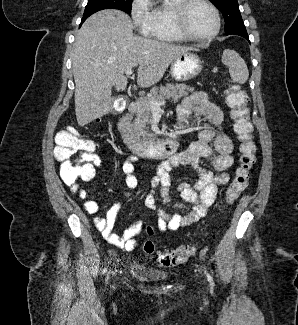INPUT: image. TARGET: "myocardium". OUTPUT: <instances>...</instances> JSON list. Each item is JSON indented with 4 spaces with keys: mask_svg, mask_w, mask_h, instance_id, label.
<instances>
[{
    "mask_svg": "<svg viewBox=\"0 0 298 325\" xmlns=\"http://www.w3.org/2000/svg\"><path fill=\"white\" fill-rule=\"evenodd\" d=\"M193 4H200L204 6L212 15L214 19V30L213 32L206 38H198L191 35L183 25V16L185 11ZM169 12H170V26L173 33L182 40L192 41L197 43H210L213 41L216 36L219 34L220 31V19L218 17L217 12L205 0H172L169 5Z\"/></svg>",
    "mask_w": 298,
    "mask_h": 325,
    "instance_id": "1",
    "label": "myocardium"
}]
</instances>
